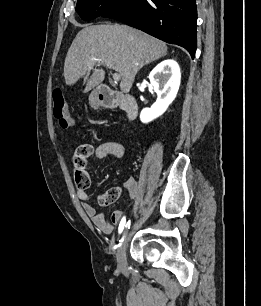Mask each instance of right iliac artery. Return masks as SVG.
I'll use <instances>...</instances> for the list:
<instances>
[{
    "label": "right iliac artery",
    "instance_id": "obj_1",
    "mask_svg": "<svg viewBox=\"0 0 261 306\" xmlns=\"http://www.w3.org/2000/svg\"><path fill=\"white\" fill-rule=\"evenodd\" d=\"M130 224L131 221L129 220L128 222H126V218L123 217L122 220L120 221L119 227H118V233L121 234L124 230V228H130ZM123 238L121 240H119V242H122ZM121 245V243L119 244V246Z\"/></svg>",
    "mask_w": 261,
    "mask_h": 306
}]
</instances>
